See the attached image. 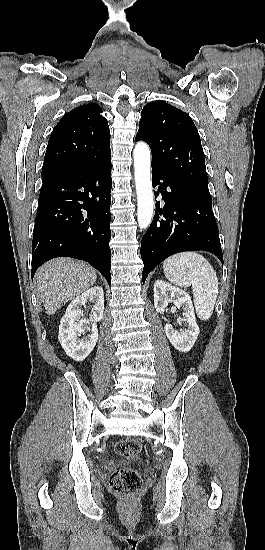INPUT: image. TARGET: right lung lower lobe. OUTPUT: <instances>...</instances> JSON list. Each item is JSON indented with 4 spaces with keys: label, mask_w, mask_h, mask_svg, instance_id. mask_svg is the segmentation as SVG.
Instances as JSON below:
<instances>
[{
    "label": "right lung lower lobe",
    "mask_w": 265,
    "mask_h": 550,
    "mask_svg": "<svg viewBox=\"0 0 265 550\" xmlns=\"http://www.w3.org/2000/svg\"><path fill=\"white\" fill-rule=\"evenodd\" d=\"M111 187V158L42 182L32 241V278L46 261L67 256L87 261L110 284Z\"/></svg>",
    "instance_id": "obj_1"
}]
</instances>
